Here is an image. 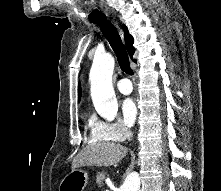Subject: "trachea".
<instances>
[{
    "label": "trachea",
    "mask_w": 221,
    "mask_h": 191,
    "mask_svg": "<svg viewBox=\"0 0 221 191\" xmlns=\"http://www.w3.org/2000/svg\"><path fill=\"white\" fill-rule=\"evenodd\" d=\"M92 23L100 26L102 33L109 41L112 49L114 50L119 66L121 70L127 74L133 75V71L130 67V62L128 58L127 51L125 46L118 34L117 29L113 26V24L107 20L105 17L93 20Z\"/></svg>",
    "instance_id": "trachea-1"
}]
</instances>
